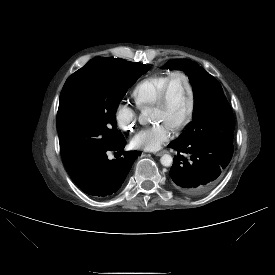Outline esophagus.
Masks as SVG:
<instances>
[{
  "mask_svg": "<svg viewBox=\"0 0 275 275\" xmlns=\"http://www.w3.org/2000/svg\"><path fill=\"white\" fill-rule=\"evenodd\" d=\"M164 153H166L165 150L160 151V152H157V153H154V154H155L156 156H161V155H163Z\"/></svg>",
  "mask_w": 275,
  "mask_h": 275,
  "instance_id": "obj_1",
  "label": "esophagus"
}]
</instances>
